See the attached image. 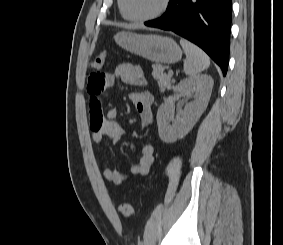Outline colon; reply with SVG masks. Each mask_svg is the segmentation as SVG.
Returning <instances> with one entry per match:
<instances>
[{"instance_id":"1","label":"colon","mask_w":283,"mask_h":245,"mask_svg":"<svg viewBox=\"0 0 283 245\" xmlns=\"http://www.w3.org/2000/svg\"><path fill=\"white\" fill-rule=\"evenodd\" d=\"M107 58V53L102 52L97 55L91 62V67L93 69H100L105 65ZM120 213L125 218H131L134 216V207L130 202H123L119 206Z\"/></svg>"}]
</instances>
